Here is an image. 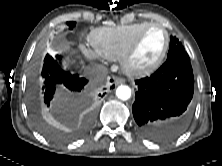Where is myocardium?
<instances>
[{"instance_id": "myocardium-1", "label": "myocardium", "mask_w": 222, "mask_h": 166, "mask_svg": "<svg viewBox=\"0 0 222 166\" xmlns=\"http://www.w3.org/2000/svg\"><path fill=\"white\" fill-rule=\"evenodd\" d=\"M154 27L161 28L165 33V44L162 49V52L160 53L159 57L151 65H149L147 67H143V68H135L131 65V58H132L137 46L139 45L143 35L149 29L154 28ZM170 40H171L170 34L164 25H162L160 23H155V22L148 23L136 34V36L132 39V41L129 43V45L127 46V48L123 52V54L120 58V63H121L123 70L125 72H127L128 74L135 75V76L147 75V74L154 72L155 70H157L160 67V65L164 61V59L168 53V50H169Z\"/></svg>"}]
</instances>
